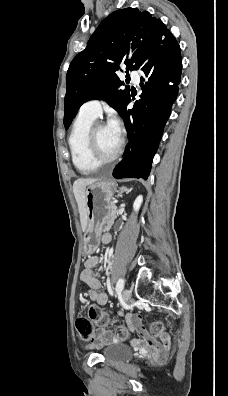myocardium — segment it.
<instances>
[{
  "label": "myocardium",
  "mask_w": 228,
  "mask_h": 396,
  "mask_svg": "<svg viewBox=\"0 0 228 396\" xmlns=\"http://www.w3.org/2000/svg\"><path fill=\"white\" fill-rule=\"evenodd\" d=\"M102 126H105V123H103V122L93 123L88 131V134H87L88 156H89L90 160L97 166H102V165H106V164H110V163L114 162L120 156L122 149H123V145H124L123 138H120L118 148L114 152L113 155H111L110 157H107V158L100 156V154L98 152V148H97L96 133H97V130Z\"/></svg>",
  "instance_id": "1"
}]
</instances>
